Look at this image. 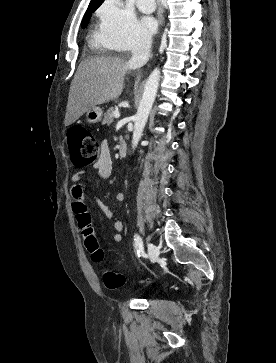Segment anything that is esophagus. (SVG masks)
I'll use <instances>...</instances> for the list:
<instances>
[{
    "label": "esophagus",
    "instance_id": "obj_1",
    "mask_svg": "<svg viewBox=\"0 0 276 363\" xmlns=\"http://www.w3.org/2000/svg\"><path fill=\"white\" fill-rule=\"evenodd\" d=\"M158 4L160 5V9H159V23H160V25H162L164 18H163V8H162L161 0H158Z\"/></svg>",
    "mask_w": 276,
    "mask_h": 363
}]
</instances>
